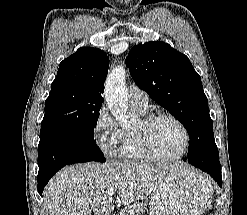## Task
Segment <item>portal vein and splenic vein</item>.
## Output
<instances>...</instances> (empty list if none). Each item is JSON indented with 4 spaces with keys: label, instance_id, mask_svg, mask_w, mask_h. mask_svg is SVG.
I'll list each match as a JSON object with an SVG mask.
<instances>
[{
    "label": "portal vein and splenic vein",
    "instance_id": "18ae733b",
    "mask_svg": "<svg viewBox=\"0 0 247 215\" xmlns=\"http://www.w3.org/2000/svg\"><path fill=\"white\" fill-rule=\"evenodd\" d=\"M115 193H116V191L114 189H110V190L107 191V194L109 196H113Z\"/></svg>",
    "mask_w": 247,
    "mask_h": 215
}]
</instances>
